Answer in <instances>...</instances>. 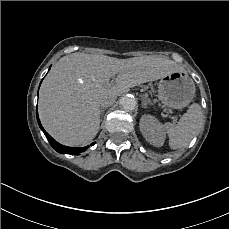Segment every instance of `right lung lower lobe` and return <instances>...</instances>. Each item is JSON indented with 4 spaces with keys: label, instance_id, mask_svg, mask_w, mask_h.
<instances>
[{
    "label": "right lung lower lobe",
    "instance_id": "obj_1",
    "mask_svg": "<svg viewBox=\"0 0 229 229\" xmlns=\"http://www.w3.org/2000/svg\"><path fill=\"white\" fill-rule=\"evenodd\" d=\"M36 116H37V121H38V124L41 128V130L44 132L47 140L49 141L50 145L53 147L54 150H56L57 152L59 153H62V154H73V155H80V153L84 152L86 149L89 148V146H86V147H67V146H64V145H61L60 143H58L57 141H55L45 130L44 128L42 127L41 123H40V120H39V116H38V112H36ZM95 143H92V145H94Z\"/></svg>",
    "mask_w": 229,
    "mask_h": 229
}]
</instances>
